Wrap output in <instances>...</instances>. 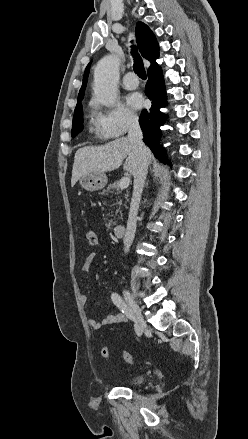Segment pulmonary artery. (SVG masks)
Instances as JSON below:
<instances>
[{
    "mask_svg": "<svg viewBox=\"0 0 248 439\" xmlns=\"http://www.w3.org/2000/svg\"><path fill=\"white\" fill-rule=\"evenodd\" d=\"M122 85L127 90H134L139 86V80L134 72H128L124 75Z\"/></svg>",
    "mask_w": 248,
    "mask_h": 439,
    "instance_id": "1",
    "label": "pulmonary artery"
}]
</instances>
